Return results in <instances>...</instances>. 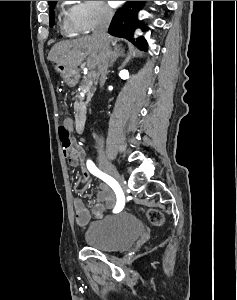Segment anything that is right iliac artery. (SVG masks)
<instances>
[{
  "label": "right iliac artery",
  "mask_w": 237,
  "mask_h": 300,
  "mask_svg": "<svg viewBox=\"0 0 237 300\" xmlns=\"http://www.w3.org/2000/svg\"><path fill=\"white\" fill-rule=\"evenodd\" d=\"M87 168L93 175L102 179L114 190V192L116 193V196H117V203H116L114 211L121 210L124 207V200L119 194L120 193L123 194V193H122V190H121L119 184L116 182V180L114 178H112L111 176H109L108 174L100 171L91 160L87 161Z\"/></svg>",
  "instance_id": "right-iliac-artery-1"
}]
</instances>
